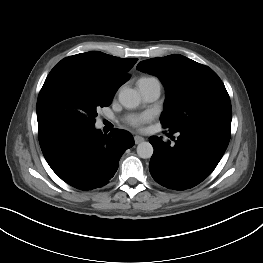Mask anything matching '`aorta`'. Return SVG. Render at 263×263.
<instances>
[{"instance_id":"762f6f07","label":"aorta","mask_w":263,"mask_h":263,"mask_svg":"<svg viewBox=\"0 0 263 263\" xmlns=\"http://www.w3.org/2000/svg\"><path fill=\"white\" fill-rule=\"evenodd\" d=\"M141 101L139 93L131 88H125L119 93V102L125 108H136ZM153 146L149 142H141L137 146V154L140 158L148 159L153 155Z\"/></svg>"}]
</instances>
